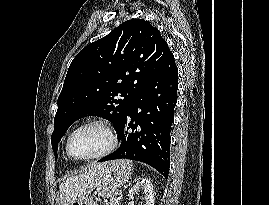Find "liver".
<instances>
[{
    "instance_id": "liver-1",
    "label": "liver",
    "mask_w": 269,
    "mask_h": 205,
    "mask_svg": "<svg viewBox=\"0 0 269 205\" xmlns=\"http://www.w3.org/2000/svg\"><path fill=\"white\" fill-rule=\"evenodd\" d=\"M108 163H92L82 174L69 177L61 183L59 191L62 205H69L72 201L93 191Z\"/></svg>"
}]
</instances>
